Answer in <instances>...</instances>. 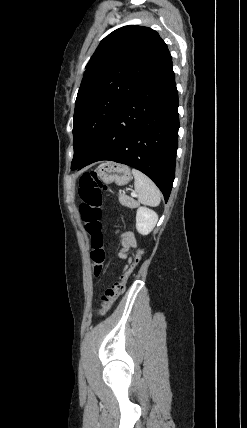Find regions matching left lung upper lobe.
I'll list each match as a JSON object with an SVG mask.
<instances>
[{
	"mask_svg": "<svg viewBox=\"0 0 247 428\" xmlns=\"http://www.w3.org/2000/svg\"><path fill=\"white\" fill-rule=\"evenodd\" d=\"M170 59L167 45L147 27L124 26L100 42L75 102L71 167L86 159L123 100L147 85Z\"/></svg>",
	"mask_w": 247,
	"mask_h": 428,
	"instance_id": "1",
	"label": "left lung upper lobe"
}]
</instances>
